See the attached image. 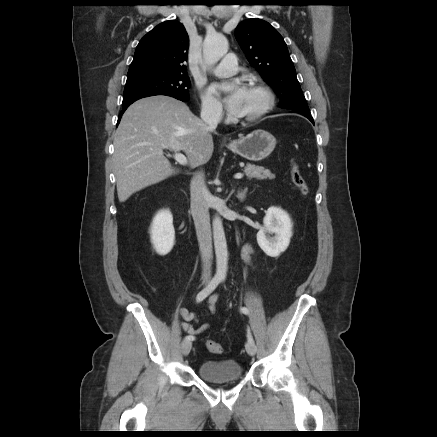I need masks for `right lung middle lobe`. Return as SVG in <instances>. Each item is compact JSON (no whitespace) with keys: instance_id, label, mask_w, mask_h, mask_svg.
Instances as JSON below:
<instances>
[{"instance_id":"obj_1","label":"right lung middle lobe","mask_w":437,"mask_h":437,"mask_svg":"<svg viewBox=\"0 0 437 437\" xmlns=\"http://www.w3.org/2000/svg\"><path fill=\"white\" fill-rule=\"evenodd\" d=\"M190 80L187 74L160 71L128 72L124 89L123 105L154 95H167L187 101Z\"/></svg>"}]
</instances>
